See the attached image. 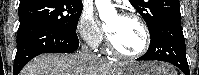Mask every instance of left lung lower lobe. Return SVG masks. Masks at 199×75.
I'll use <instances>...</instances> for the list:
<instances>
[{"mask_svg": "<svg viewBox=\"0 0 199 75\" xmlns=\"http://www.w3.org/2000/svg\"><path fill=\"white\" fill-rule=\"evenodd\" d=\"M150 37L151 41L147 52L137 60L169 62L182 70L185 75H189L181 16L165 20L157 32Z\"/></svg>", "mask_w": 199, "mask_h": 75, "instance_id": "0a47b994", "label": "left lung lower lobe"}]
</instances>
